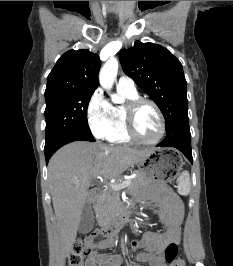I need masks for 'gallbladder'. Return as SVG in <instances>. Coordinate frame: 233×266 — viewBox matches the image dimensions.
<instances>
[{
    "label": "gallbladder",
    "mask_w": 233,
    "mask_h": 266,
    "mask_svg": "<svg viewBox=\"0 0 233 266\" xmlns=\"http://www.w3.org/2000/svg\"><path fill=\"white\" fill-rule=\"evenodd\" d=\"M94 226V215L92 207L89 203H85L79 222L78 231L81 234H86L93 229Z\"/></svg>",
    "instance_id": "bac80fb5"
}]
</instances>
